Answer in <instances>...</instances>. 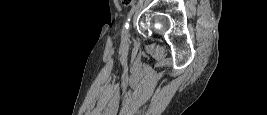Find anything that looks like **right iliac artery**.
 <instances>
[{"mask_svg":"<svg viewBox=\"0 0 267 115\" xmlns=\"http://www.w3.org/2000/svg\"><path fill=\"white\" fill-rule=\"evenodd\" d=\"M135 9H136V6L134 5L131 10L129 11L128 13V16H127V20L124 24V27H123V30H122V39L123 40H126L124 37H125V34L127 32V29L129 28V22H130V18L131 16L133 15V13L135 12Z\"/></svg>","mask_w":267,"mask_h":115,"instance_id":"82829eb1","label":"right iliac artery"}]
</instances>
